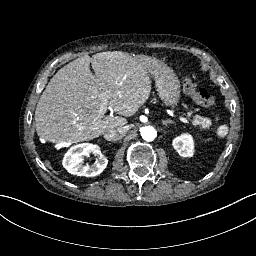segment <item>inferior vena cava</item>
<instances>
[{
	"label": "inferior vena cava",
	"mask_w": 256,
	"mask_h": 256,
	"mask_svg": "<svg viewBox=\"0 0 256 256\" xmlns=\"http://www.w3.org/2000/svg\"><path fill=\"white\" fill-rule=\"evenodd\" d=\"M124 131L121 128L109 129L103 133V137L108 141H115L122 137Z\"/></svg>",
	"instance_id": "inferior-vena-cava-1"
}]
</instances>
